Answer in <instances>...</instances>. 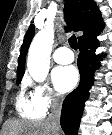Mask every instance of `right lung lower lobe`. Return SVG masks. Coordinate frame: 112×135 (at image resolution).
<instances>
[{
    "mask_svg": "<svg viewBox=\"0 0 112 135\" xmlns=\"http://www.w3.org/2000/svg\"><path fill=\"white\" fill-rule=\"evenodd\" d=\"M97 35L79 43L80 55L78 68L80 84L64 100L61 112V126L66 135H77L84 103L89 97V89L94 83V72L98 68L99 55L95 50L99 47Z\"/></svg>",
    "mask_w": 112,
    "mask_h": 135,
    "instance_id": "98d812e1",
    "label": "right lung lower lobe"
}]
</instances>
